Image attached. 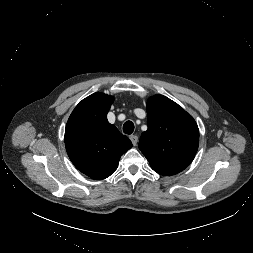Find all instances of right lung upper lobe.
I'll list each match as a JSON object with an SVG mask.
<instances>
[{"mask_svg": "<svg viewBox=\"0 0 253 253\" xmlns=\"http://www.w3.org/2000/svg\"><path fill=\"white\" fill-rule=\"evenodd\" d=\"M114 98L96 92L79 102L65 128V146L74 166L95 180L109 177L131 141L107 120Z\"/></svg>", "mask_w": 253, "mask_h": 253, "instance_id": "obj_1", "label": "right lung upper lobe"}]
</instances>
